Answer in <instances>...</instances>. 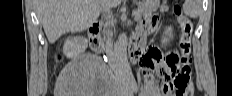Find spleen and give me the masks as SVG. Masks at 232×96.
<instances>
[{
    "label": "spleen",
    "mask_w": 232,
    "mask_h": 96,
    "mask_svg": "<svg viewBox=\"0 0 232 96\" xmlns=\"http://www.w3.org/2000/svg\"><path fill=\"white\" fill-rule=\"evenodd\" d=\"M183 11L188 17L197 18L202 12L201 0H185Z\"/></svg>",
    "instance_id": "obj_1"
}]
</instances>
